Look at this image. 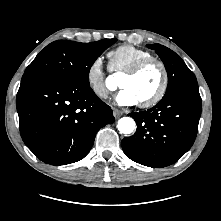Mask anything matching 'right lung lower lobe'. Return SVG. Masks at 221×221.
Listing matches in <instances>:
<instances>
[{"instance_id":"right-lung-lower-lobe-1","label":"right lung lower lobe","mask_w":221,"mask_h":221,"mask_svg":"<svg viewBox=\"0 0 221 221\" xmlns=\"http://www.w3.org/2000/svg\"><path fill=\"white\" fill-rule=\"evenodd\" d=\"M16 106L25 145L51 165L84 158L97 131L115 121L89 84L54 75H23Z\"/></svg>"}]
</instances>
